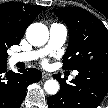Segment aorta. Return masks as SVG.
<instances>
[{"mask_svg": "<svg viewBox=\"0 0 108 108\" xmlns=\"http://www.w3.org/2000/svg\"><path fill=\"white\" fill-rule=\"evenodd\" d=\"M26 38L33 46H42L47 43L49 39V30L42 23H33L26 30ZM45 91L54 95L59 91V83L55 79H49L44 83Z\"/></svg>", "mask_w": 108, "mask_h": 108, "instance_id": "762f6f07", "label": "aorta"}]
</instances>
